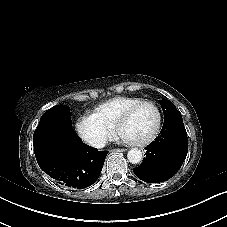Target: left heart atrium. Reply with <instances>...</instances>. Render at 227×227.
<instances>
[{"instance_id":"1","label":"left heart atrium","mask_w":227,"mask_h":227,"mask_svg":"<svg viewBox=\"0 0 227 227\" xmlns=\"http://www.w3.org/2000/svg\"><path fill=\"white\" fill-rule=\"evenodd\" d=\"M117 139L130 145H139L141 143V139L131 133H120Z\"/></svg>"}]
</instances>
